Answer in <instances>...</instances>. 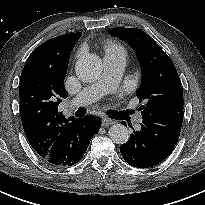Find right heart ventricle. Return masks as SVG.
<instances>
[{
	"instance_id": "obj_1",
	"label": "right heart ventricle",
	"mask_w": 205,
	"mask_h": 205,
	"mask_svg": "<svg viewBox=\"0 0 205 205\" xmlns=\"http://www.w3.org/2000/svg\"><path fill=\"white\" fill-rule=\"evenodd\" d=\"M102 46L105 56H124L125 58L127 56L125 48L115 40L106 39Z\"/></svg>"
}]
</instances>
